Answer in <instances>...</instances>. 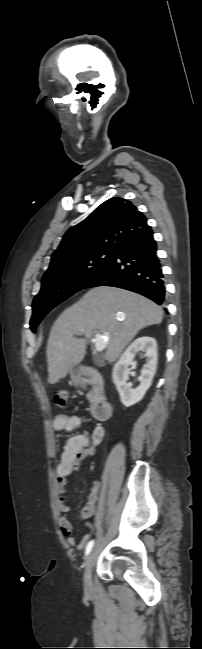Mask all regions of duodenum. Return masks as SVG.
Here are the masks:
<instances>
[{
	"label": "duodenum",
	"mask_w": 202,
	"mask_h": 649,
	"mask_svg": "<svg viewBox=\"0 0 202 649\" xmlns=\"http://www.w3.org/2000/svg\"><path fill=\"white\" fill-rule=\"evenodd\" d=\"M78 379L82 384L93 387L92 412L99 420H107L112 413V404L104 394V379L94 368L84 366L78 371Z\"/></svg>",
	"instance_id": "obj_1"
}]
</instances>
